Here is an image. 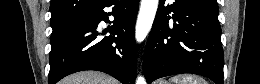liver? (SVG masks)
<instances>
[{
  "instance_id": "obj_1",
  "label": "liver",
  "mask_w": 260,
  "mask_h": 84,
  "mask_svg": "<svg viewBox=\"0 0 260 84\" xmlns=\"http://www.w3.org/2000/svg\"><path fill=\"white\" fill-rule=\"evenodd\" d=\"M62 84H118L117 81L97 71H82L62 80Z\"/></svg>"
}]
</instances>
